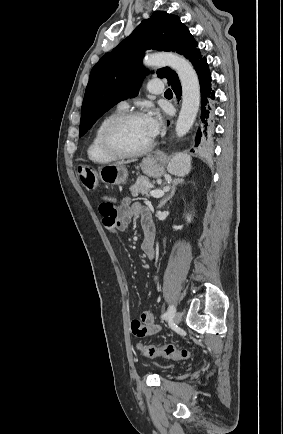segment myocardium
I'll list each match as a JSON object with an SVG mask.
<instances>
[{
  "instance_id": "1",
  "label": "myocardium",
  "mask_w": 283,
  "mask_h": 434,
  "mask_svg": "<svg viewBox=\"0 0 283 434\" xmlns=\"http://www.w3.org/2000/svg\"><path fill=\"white\" fill-rule=\"evenodd\" d=\"M144 114L138 111L123 112L113 119H111L103 128L100 136V142L103 150L111 156L116 158H132L142 156L149 151L154 146L153 139L148 145L139 150H126L120 146L117 141V133L122 126L131 120L142 118Z\"/></svg>"
}]
</instances>
